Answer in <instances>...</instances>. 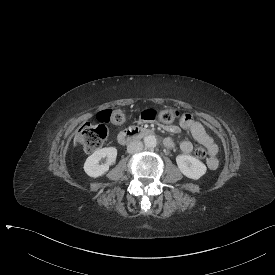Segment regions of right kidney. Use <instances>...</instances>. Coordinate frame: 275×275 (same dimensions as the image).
I'll list each match as a JSON object with an SVG mask.
<instances>
[{"label":"right kidney","mask_w":275,"mask_h":275,"mask_svg":"<svg viewBox=\"0 0 275 275\" xmlns=\"http://www.w3.org/2000/svg\"><path fill=\"white\" fill-rule=\"evenodd\" d=\"M107 158L105 164H99L102 158ZM117 157V149L115 147L102 148L90 155L84 163V171L90 177H99L109 170V166L114 164Z\"/></svg>","instance_id":"1"}]
</instances>
